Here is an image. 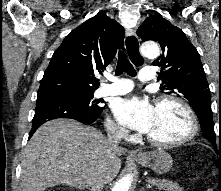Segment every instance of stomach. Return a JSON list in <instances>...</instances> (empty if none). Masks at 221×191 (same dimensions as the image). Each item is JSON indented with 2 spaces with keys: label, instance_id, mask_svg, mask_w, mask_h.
I'll list each match as a JSON object with an SVG mask.
<instances>
[{
  "label": "stomach",
  "instance_id": "stomach-1",
  "mask_svg": "<svg viewBox=\"0 0 221 191\" xmlns=\"http://www.w3.org/2000/svg\"><path fill=\"white\" fill-rule=\"evenodd\" d=\"M135 160L137 163L150 168L157 174L167 173L173 164L171 155L160 148L146 152L142 156L136 157Z\"/></svg>",
  "mask_w": 221,
  "mask_h": 191
}]
</instances>
